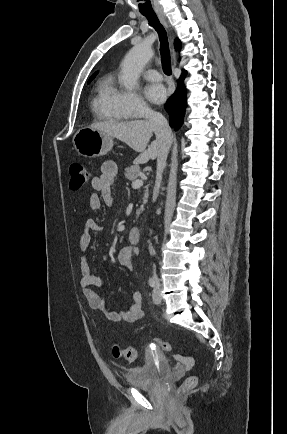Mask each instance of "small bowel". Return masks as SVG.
Instances as JSON below:
<instances>
[{"label":"small bowel","instance_id":"obj_1","mask_svg":"<svg viewBox=\"0 0 287 434\" xmlns=\"http://www.w3.org/2000/svg\"><path fill=\"white\" fill-rule=\"evenodd\" d=\"M117 174V165L114 161H104L100 168V174L95 175L91 179V187L95 193L90 194L88 205L92 210H99L102 204L110 205L112 203L111 186L114 183ZM103 227L93 218H89L84 223L83 232L79 236L78 248L82 252L81 261L79 264L80 286L82 293L86 298L91 309L103 313L111 322H135L143 316L142 310V295L140 292H134L132 295V304L128 310L124 312L110 311L104 300L93 290V287H102L107 284V272L104 270L102 274L95 275L90 272L87 250L91 243V233H100ZM132 248L123 247L116 256L117 264L127 270L133 266ZM193 360H187L184 363L186 369L193 366Z\"/></svg>","mask_w":287,"mask_h":434}]
</instances>
